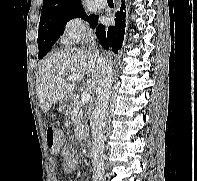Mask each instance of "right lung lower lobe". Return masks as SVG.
<instances>
[{"label": "right lung lower lobe", "mask_w": 197, "mask_h": 181, "mask_svg": "<svg viewBox=\"0 0 197 181\" xmlns=\"http://www.w3.org/2000/svg\"><path fill=\"white\" fill-rule=\"evenodd\" d=\"M124 1L125 0H121V9L115 15V24L113 26L105 27L102 24H97L95 26L96 35L100 41V44L107 50L109 48L112 49L115 53H117L121 48L124 39L126 27V11Z\"/></svg>", "instance_id": "obj_1"}]
</instances>
